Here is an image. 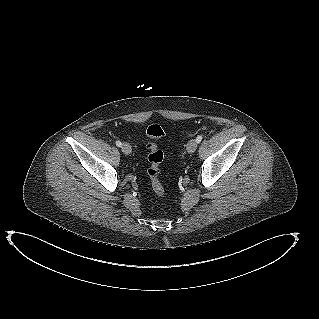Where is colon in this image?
I'll return each mask as SVG.
<instances>
[{
	"mask_svg": "<svg viewBox=\"0 0 319 319\" xmlns=\"http://www.w3.org/2000/svg\"><path fill=\"white\" fill-rule=\"evenodd\" d=\"M146 134L150 139V141L146 145V148L149 151V168L147 170V173L150 178L151 186L154 193L158 197H163L165 195V187L161 180L160 165L163 161L164 153L158 147L157 141L164 136V129L159 124H152L148 126Z\"/></svg>",
	"mask_w": 319,
	"mask_h": 319,
	"instance_id": "1",
	"label": "colon"
}]
</instances>
